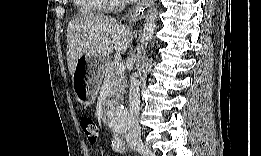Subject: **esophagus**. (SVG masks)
<instances>
[{"mask_svg": "<svg viewBox=\"0 0 261 156\" xmlns=\"http://www.w3.org/2000/svg\"><path fill=\"white\" fill-rule=\"evenodd\" d=\"M147 6H149L148 3L139 5L135 9H133L131 12V20L135 21V20L143 18L146 11L148 10Z\"/></svg>", "mask_w": 261, "mask_h": 156, "instance_id": "34e87169", "label": "esophagus"}]
</instances>
